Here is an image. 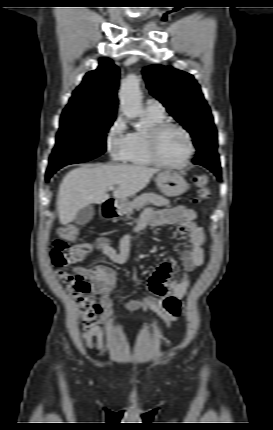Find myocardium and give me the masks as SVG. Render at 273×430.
Masks as SVG:
<instances>
[{
    "instance_id": "obj_1",
    "label": "myocardium",
    "mask_w": 273,
    "mask_h": 430,
    "mask_svg": "<svg viewBox=\"0 0 273 430\" xmlns=\"http://www.w3.org/2000/svg\"><path fill=\"white\" fill-rule=\"evenodd\" d=\"M171 128L181 131L185 135L187 144H188L187 154L184 157V159L179 163L165 162L161 159L159 155L160 137L167 129H171ZM148 149H149L150 158L155 165L163 168H169V169H181L185 167L190 162L195 151L193 140L189 131L178 123L167 122V121H163L151 127V129L148 132Z\"/></svg>"
}]
</instances>
